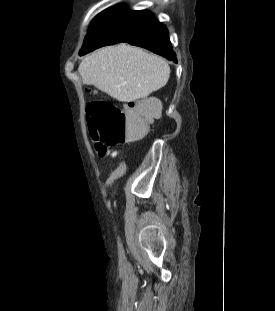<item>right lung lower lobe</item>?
<instances>
[{"instance_id":"obj_1","label":"right lung lower lobe","mask_w":275,"mask_h":311,"mask_svg":"<svg viewBox=\"0 0 275 311\" xmlns=\"http://www.w3.org/2000/svg\"><path fill=\"white\" fill-rule=\"evenodd\" d=\"M121 43L143 47L177 63L169 32L154 16L135 26Z\"/></svg>"}]
</instances>
